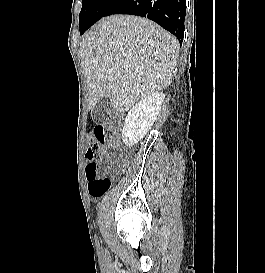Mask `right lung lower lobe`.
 <instances>
[{"label": "right lung lower lobe", "instance_id": "obj_1", "mask_svg": "<svg viewBox=\"0 0 265 273\" xmlns=\"http://www.w3.org/2000/svg\"><path fill=\"white\" fill-rule=\"evenodd\" d=\"M112 14L147 17L174 34L182 44L186 0H115L104 16Z\"/></svg>", "mask_w": 265, "mask_h": 273}]
</instances>
